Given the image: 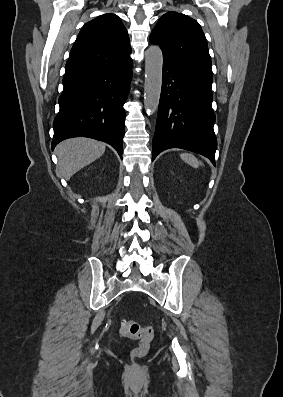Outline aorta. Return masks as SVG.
<instances>
[{
	"label": "aorta",
	"instance_id": "obj_1",
	"mask_svg": "<svg viewBox=\"0 0 283 397\" xmlns=\"http://www.w3.org/2000/svg\"><path fill=\"white\" fill-rule=\"evenodd\" d=\"M163 55L159 46H150L145 53L144 107L149 114L158 109L162 86Z\"/></svg>",
	"mask_w": 283,
	"mask_h": 397
}]
</instances>
